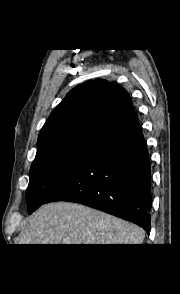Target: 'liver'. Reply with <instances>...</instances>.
Returning <instances> with one entry per match:
<instances>
[{"mask_svg": "<svg viewBox=\"0 0 180 294\" xmlns=\"http://www.w3.org/2000/svg\"><path fill=\"white\" fill-rule=\"evenodd\" d=\"M137 225L70 202L38 209L18 237L19 244H142Z\"/></svg>", "mask_w": 180, "mask_h": 294, "instance_id": "1", "label": "liver"}]
</instances>
